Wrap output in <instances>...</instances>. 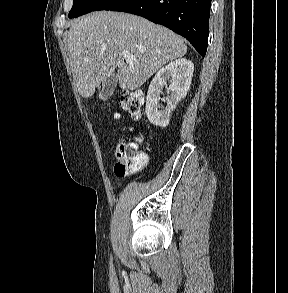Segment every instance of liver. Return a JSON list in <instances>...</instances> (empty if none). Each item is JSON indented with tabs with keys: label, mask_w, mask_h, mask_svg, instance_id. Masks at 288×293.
I'll list each match as a JSON object with an SVG mask.
<instances>
[{
	"label": "liver",
	"mask_w": 288,
	"mask_h": 293,
	"mask_svg": "<svg viewBox=\"0 0 288 293\" xmlns=\"http://www.w3.org/2000/svg\"><path fill=\"white\" fill-rule=\"evenodd\" d=\"M67 46L73 78L84 98L91 97L115 69L120 88L135 90L187 53L183 39L171 30L137 15L111 11L93 12L76 21L68 31ZM125 51L136 59L124 62Z\"/></svg>",
	"instance_id": "6515ba94"
}]
</instances>
